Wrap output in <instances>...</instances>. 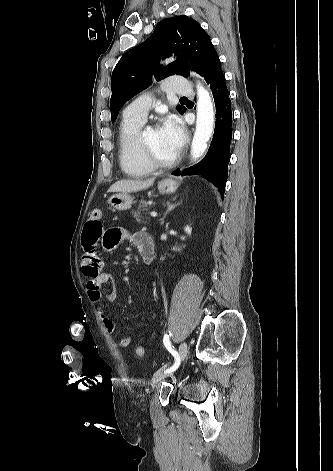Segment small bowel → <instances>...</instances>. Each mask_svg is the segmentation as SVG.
Segmentation results:
<instances>
[{"mask_svg":"<svg viewBox=\"0 0 333 471\" xmlns=\"http://www.w3.org/2000/svg\"><path fill=\"white\" fill-rule=\"evenodd\" d=\"M147 237L143 232H130L118 227L105 230L100 219L92 220L89 218L87 220L82 233L84 253L81 268L82 272L89 278L86 289L92 303L100 304L104 297L108 300H113L115 296L113 289L107 293H104L102 289L105 284H114V276L111 272L103 269V259L98 249L99 244L105 250H111L123 242L129 241L139 249ZM99 312L105 329L108 332H115L117 328L115 322L104 313L101 307ZM130 344V337H123L120 341V346L123 348L130 346Z\"/></svg>","mask_w":333,"mask_h":471,"instance_id":"1","label":"small bowel"}]
</instances>
